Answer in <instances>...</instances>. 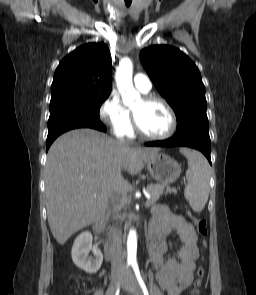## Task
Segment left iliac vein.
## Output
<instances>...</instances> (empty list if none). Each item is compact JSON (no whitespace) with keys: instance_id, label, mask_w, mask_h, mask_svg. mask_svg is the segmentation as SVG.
Listing matches in <instances>:
<instances>
[{"instance_id":"left-iliac-vein-1","label":"left iliac vein","mask_w":256,"mask_h":295,"mask_svg":"<svg viewBox=\"0 0 256 295\" xmlns=\"http://www.w3.org/2000/svg\"><path fill=\"white\" fill-rule=\"evenodd\" d=\"M122 285L131 289L134 295H143L139 284L137 283L135 276L131 270H128L123 277Z\"/></svg>"}]
</instances>
